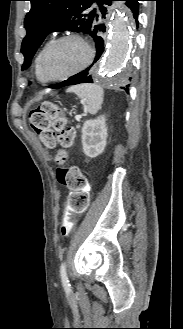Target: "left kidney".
I'll list each match as a JSON object with an SVG mask.
<instances>
[{"instance_id":"obj_1","label":"left kidney","mask_w":183,"mask_h":329,"mask_svg":"<svg viewBox=\"0 0 183 329\" xmlns=\"http://www.w3.org/2000/svg\"><path fill=\"white\" fill-rule=\"evenodd\" d=\"M107 127L105 116L88 120L82 127L83 152L90 158L100 155L106 146Z\"/></svg>"}]
</instances>
